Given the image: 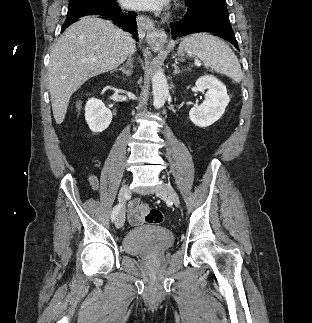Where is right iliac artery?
<instances>
[{
  "label": "right iliac artery",
  "mask_w": 312,
  "mask_h": 323,
  "mask_svg": "<svg viewBox=\"0 0 312 323\" xmlns=\"http://www.w3.org/2000/svg\"><path fill=\"white\" fill-rule=\"evenodd\" d=\"M121 207H122V205L118 204L113 208V211H112V214H111L112 221H114L116 219Z\"/></svg>",
  "instance_id": "right-iliac-artery-1"
}]
</instances>
